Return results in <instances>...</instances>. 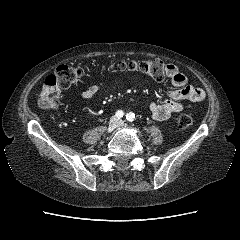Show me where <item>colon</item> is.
I'll list each match as a JSON object with an SVG mask.
<instances>
[{"instance_id":"5ec220e1","label":"colon","mask_w":240,"mask_h":240,"mask_svg":"<svg viewBox=\"0 0 240 240\" xmlns=\"http://www.w3.org/2000/svg\"><path fill=\"white\" fill-rule=\"evenodd\" d=\"M101 71L136 72L147 75L156 81H162L167 76V64L159 59L144 61H117L113 60L100 67ZM91 71L89 67L70 65L58 66L54 73L48 76L38 96V105L42 109H55L60 103V90L68 88ZM194 123V116L182 114L178 118L180 128H188Z\"/></svg>"}]
</instances>
